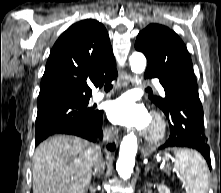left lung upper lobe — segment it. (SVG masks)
Returning a JSON list of instances; mask_svg holds the SVG:
<instances>
[{"mask_svg":"<svg viewBox=\"0 0 221 193\" xmlns=\"http://www.w3.org/2000/svg\"><path fill=\"white\" fill-rule=\"evenodd\" d=\"M135 48L145 54L148 66L169 76L193 77V64L185 44L169 28L150 24L142 30L136 39ZM159 107L166 106V100L151 96Z\"/></svg>","mask_w":221,"mask_h":193,"instance_id":"1","label":"left lung upper lobe"}]
</instances>
